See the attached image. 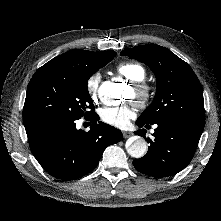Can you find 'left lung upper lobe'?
I'll use <instances>...</instances> for the list:
<instances>
[{
    "instance_id": "5c2ea615",
    "label": "left lung upper lobe",
    "mask_w": 221,
    "mask_h": 221,
    "mask_svg": "<svg viewBox=\"0 0 221 221\" xmlns=\"http://www.w3.org/2000/svg\"><path fill=\"white\" fill-rule=\"evenodd\" d=\"M120 55L146 64L157 79L156 95L137 121L148 124L173 121L204 128L202 87L185 61L157 44L135 46Z\"/></svg>"
}]
</instances>
